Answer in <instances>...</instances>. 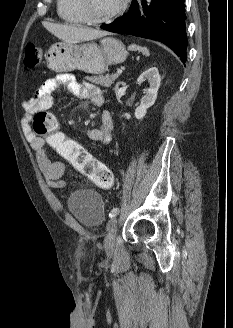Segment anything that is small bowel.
I'll use <instances>...</instances> for the list:
<instances>
[{
	"label": "small bowel",
	"mask_w": 233,
	"mask_h": 328,
	"mask_svg": "<svg viewBox=\"0 0 233 328\" xmlns=\"http://www.w3.org/2000/svg\"><path fill=\"white\" fill-rule=\"evenodd\" d=\"M65 88L74 97L85 100L90 99L93 105L102 106L104 97L101 89L92 83H79L70 74H60L54 78L46 80L39 90L23 103V113L21 117L22 130L36 152V158L47 185L51 188H63L66 182L62 180L67 168L64 162L53 158L49 151L47 142L36 137L31 132L30 123L33 115L38 111L49 110L55 100L56 93ZM90 140L102 144H108L113 136V120L110 112L104 110L101 114L99 128L87 130Z\"/></svg>",
	"instance_id": "obj_1"
}]
</instances>
